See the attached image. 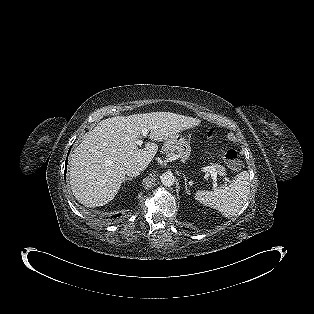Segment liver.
<instances>
[{
    "instance_id": "6515ba94",
    "label": "liver",
    "mask_w": 314,
    "mask_h": 314,
    "mask_svg": "<svg viewBox=\"0 0 314 314\" xmlns=\"http://www.w3.org/2000/svg\"><path fill=\"white\" fill-rule=\"evenodd\" d=\"M200 120L172 112H151L116 116L100 121L87 132L69 162L70 185L74 196L86 207H98L114 199L125 179V169L136 163L145 168L158 146L137 147L144 128L152 141H164L198 126Z\"/></svg>"
}]
</instances>
